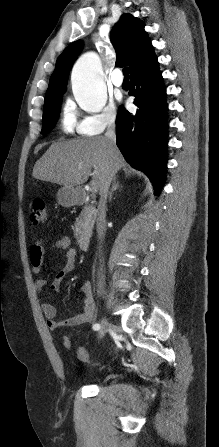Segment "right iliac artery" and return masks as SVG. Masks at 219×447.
Masks as SVG:
<instances>
[{
  "label": "right iliac artery",
  "mask_w": 219,
  "mask_h": 447,
  "mask_svg": "<svg viewBox=\"0 0 219 447\" xmlns=\"http://www.w3.org/2000/svg\"><path fill=\"white\" fill-rule=\"evenodd\" d=\"M93 329L94 330H99L100 329V325L98 323L93 325Z\"/></svg>",
  "instance_id": "1"
}]
</instances>
